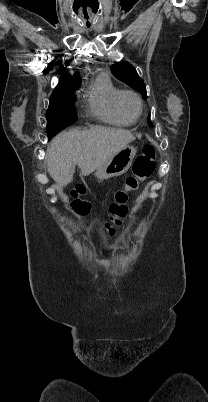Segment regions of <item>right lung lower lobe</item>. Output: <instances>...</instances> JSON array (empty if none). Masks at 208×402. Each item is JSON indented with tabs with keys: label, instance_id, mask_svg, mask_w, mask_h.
I'll list each match as a JSON object with an SVG mask.
<instances>
[{
	"label": "right lung lower lobe",
	"instance_id": "right-lung-lower-lobe-1",
	"mask_svg": "<svg viewBox=\"0 0 208 402\" xmlns=\"http://www.w3.org/2000/svg\"><path fill=\"white\" fill-rule=\"evenodd\" d=\"M67 126L68 125L64 124L62 121H55V122L47 123L46 130H47L48 140H50L58 132H60L62 129H64Z\"/></svg>",
	"mask_w": 208,
	"mask_h": 402
}]
</instances>
